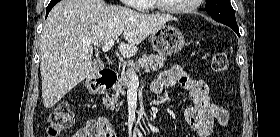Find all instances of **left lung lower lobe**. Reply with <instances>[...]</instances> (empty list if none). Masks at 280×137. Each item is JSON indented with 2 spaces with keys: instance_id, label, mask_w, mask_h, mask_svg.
Listing matches in <instances>:
<instances>
[{
  "instance_id": "obj_1",
  "label": "left lung lower lobe",
  "mask_w": 280,
  "mask_h": 137,
  "mask_svg": "<svg viewBox=\"0 0 280 137\" xmlns=\"http://www.w3.org/2000/svg\"><path fill=\"white\" fill-rule=\"evenodd\" d=\"M229 27H231L238 36H240V33H239V29H238V26L237 25H228Z\"/></svg>"
}]
</instances>
